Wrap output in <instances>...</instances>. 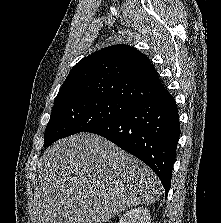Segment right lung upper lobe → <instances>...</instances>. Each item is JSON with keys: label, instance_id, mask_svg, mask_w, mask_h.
<instances>
[{"label": "right lung upper lobe", "instance_id": "cb5924a9", "mask_svg": "<svg viewBox=\"0 0 221 223\" xmlns=\"http://www.w3.org/2000/svg\"><path fill=\"white\" fill-rule=\"evenodd\" d=\"M167 92L147 56L113 45L83 58L70 71L54 103L98 96L137 104Z\"/></svg>", "mask_w": 221, "mask_h": 223}]
</instances>
